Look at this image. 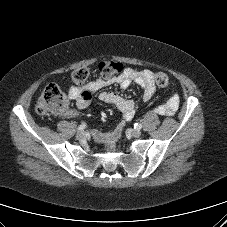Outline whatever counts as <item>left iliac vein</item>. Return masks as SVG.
Returning a JSON list of instances; mask_svg holds the SVG:
<instances>
[{
    "label": "left iliac vein",
    "instance_id": "left-iliac-vein-1",
    "mask_svg": "<svg viewBox=\"0 0 227 227\" xmlns=\"http://www.w3.org/2000/svg\"><path fill=\"white\" fill-rule=\"evenodd\" d=\"M130 134L133 136V137H140L141 136V131L139 129H131L130 130Z\"/></svg>",
    "mask_w": 227,
    "mask_h": 227
}]
</instances>
